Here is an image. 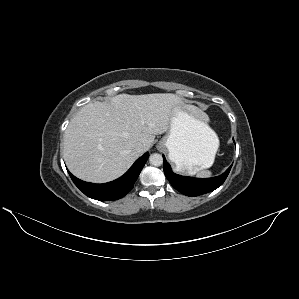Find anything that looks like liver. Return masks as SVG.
I'll use <instances>...</instances> for the list:
<instances>
[{"mask_svg":"<svg viewBox=\"0 0 299 299\" xmlns=\"http://www.w3.org/2000/svg\"><path fill=\"white\" fill-rule=\"evenodd\" d=\"M175 94H120L110 102L85 105L70 121L63 139L66 165L76 177L94 183L123 175L152 146L155 135L169 130Z\"/></svg>","mask_w":299,"mask_h":299,"instance_id":"obj_1","label":"liver"}]
</instances>
